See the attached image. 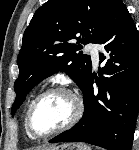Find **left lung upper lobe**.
Returning a JSON list of instances; mask_svg holds the SVG:
<instances>
[{"label": "left lung upper lobe", "mask_w": 139, "mask_h": 150, "mask_svg": "<svg viewBox=\"0 0 139 150\" xmlns=\"http://www.w3.org/2000/svg\"><path fill=\"white\" fill-rule=\"evenodd\" d=\"M115 2L48 0L35 12L17 58L19 77L14 83L12 115L34 86L60 70L83 90L91 75V60L77 51L99 41Z\"/></svg>", "instance_id": "left-lung-upper-lobe-1"}]
</instances>
